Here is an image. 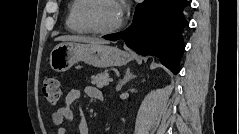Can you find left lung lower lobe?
Masks as SVG:
<instances>
[{"label": "left lung lower lobe", "instance_id": "0a47b994", "mask_svg": "<svg viewBox=\"0 0 239 134\" xmlns=\"http://www.w3.org/2000/svg\"><path fill=\"white\" fill-rule=\"evenodd\" d=\"M188 5L186 0H145L137 5L133 23L128 29L103 38L112 41L122 39L141 55L157 56L176 74L185 48L182 29L188 23L183 9Z\"/></svg>", "mask_w": 239, "mask_h": 134}]
</instances>
